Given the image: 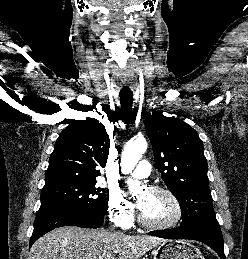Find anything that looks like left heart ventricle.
I'll return each instance as SVG.
<instances>
[{"mask_svg":"<svg viewBox=\"0 0 248 259\" xmlns=\"http://www.w3.org/2000/svg\"><path fill=\"white\" fill-rule=\"evenodd\" d=\"M139 202L143 218L150 223H165L174 216V206L164 194L145 191L141 194Z\"/></svg>","mask_w":248,"mask_h":259,"instance_id":"obj_1","label":"left heart ventricle"}]
</instances>
